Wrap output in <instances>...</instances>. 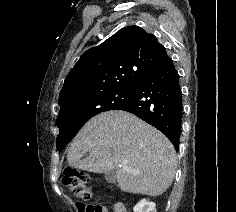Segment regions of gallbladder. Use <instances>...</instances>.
I'll list each match as a JSON object with an SVG mask.
<instances>
[{
  "label": "gallbladder",
  "mask_w": 236,
  "mask_h": 212,
  "mask_svg": "<svg viewBox=\"0 0 236 212\" xmlns=\"http://www.w3.org/2000/svg\"><path fill=\"white\" fill-rule=\"evenodd\" d=\"M105 179L109 183H116L117 178H116L115 171H109V172L105 173Z\"/></svg>",
  "instance_id": "1"
}]
</instances>
